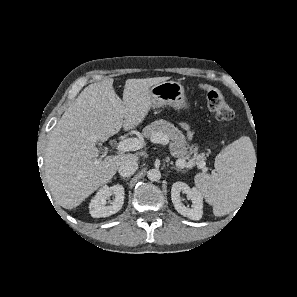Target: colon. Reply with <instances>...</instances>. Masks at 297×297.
Wrapping results in <instances>:
<instances>
[{
    "mask_svg": "<svg viewBox=\"0 0 297 297\" xmlns=\"http://www.w3.org/2000/svg\"><path fill=\"white\" fill-rule=\"evenodd\" d=\"M206 97L209 109L218 120L226 121L234 117V111L222 94L211 87H206Z\"/></svg>",
    "mask_w": 297,
    "mask_h": 297,
    "instance_id": "5ec220e1",
    "label": "colon"
}]
</instances>
